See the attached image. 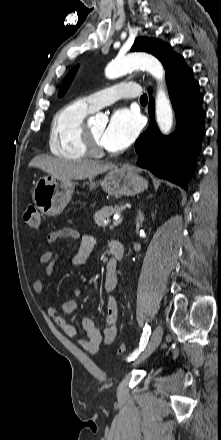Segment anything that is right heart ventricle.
Returning <instances> with one entry per match:
<instances>
[{"instance_id": "obj_1", "label": "right heart ventricle", "mask_w": 221, "mask_h": 440, "mask_svg": "<svg viewBox=\"0 0 221 440\" xmlns=\"http://www.w3.org/2000/svg\"><path fill=\"white\" fill-rule=\"evenodd\" d=\"M85 99H75L63 105L53 116L49 148L55 156L81 160L88 154L82 142L81 129L85 118L93 113Z\"/></svg>"}]
</instances>
